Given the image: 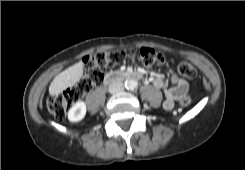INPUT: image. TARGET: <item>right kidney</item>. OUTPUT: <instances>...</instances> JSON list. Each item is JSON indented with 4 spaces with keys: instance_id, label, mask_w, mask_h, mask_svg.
Returning <instances> with one entry per match:
<instances>
[{
    "instance_id": "right-kidney-1",
    "label": "right kidney",
    "mask_w": 245,
    "mask_h": 170,
    "mask_svg": "<svg viewBox=\"0 0 245 170\" xmlns=\"http://www.w3.org/2000/svg\"><path fill=\"white\" fill-rule=\"evenodd\" d=\"M86 115V104L83 101L76 102L68 112L70 122L81 121Z\"/></svg>"
}]
</instances>
